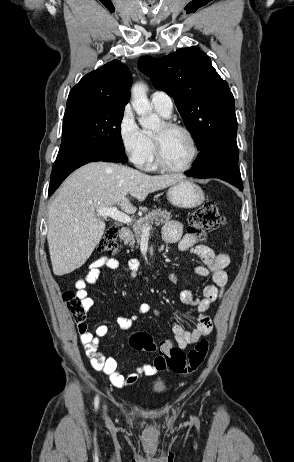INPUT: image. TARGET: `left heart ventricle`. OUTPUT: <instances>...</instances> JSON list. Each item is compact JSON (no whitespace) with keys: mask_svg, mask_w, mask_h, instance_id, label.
<instances>
[{"mask_svg":"<svg viewBox=\"0 0 294 462\" xmlns=\"http://www.w3.org/2000/svg\"><path fill=\"white\" fill-rule=\"evenodd\" d=\"M154 134L162 136L164 159L167 164L172 167H182L189 162L193 147L183 131H166L161 125Z\"/></svg>","mask_w":294,"mask_h":462,"instance_id":"obj_1","label":"left heart ventricle"}]
</instances>
